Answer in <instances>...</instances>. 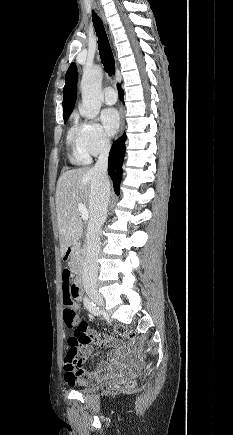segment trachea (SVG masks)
Instances as JSON below:
<instances>
[{
  "mask_svg": "<svg viewBox=\"0 0 233 435\" xmlns=\"http://www.w3.org/2000/svg\"><path fill=\"white\" fill-rule=\"evenodd\" d=\"M93 23L94 28L98 37V48H99V54L101 61L108 72V74L111 76L115 73V61L114 56L112 53V50L110 48V44L103 26V23L101 19L93 13Z\"/></svg>",
  "mask_w": 233,
  "mask_h": 435,
  "instance_id": "obj_1",
  "label": "trachea"
}]
</instances>
